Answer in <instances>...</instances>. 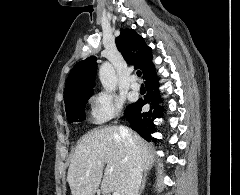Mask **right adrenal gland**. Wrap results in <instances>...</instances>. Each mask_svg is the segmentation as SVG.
Wrapping results in <instances>:
<instances>
[{"mask_svg": "<svg viewBox=\"0 0 240 195\" xmlns=\"http://www.w3.org/2000/svg\"><path fill=\"white\" fill-rule=\"evenodd\" d=\"M147 175H149V173H148V171H145V173H144V175H143V179H142V183H141V187H140V189H139L138 195H141L142 189H144V185H146Z\"/></svg>", "mask_w": 240, "mask_h": 195, "instance_id": "right-adrenal-gland-1", "label": "right adrenal gland"}]
</instances>
